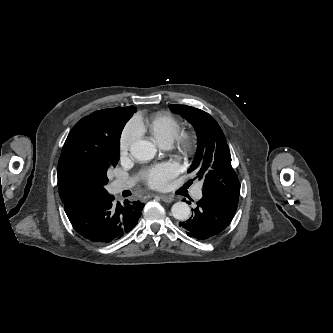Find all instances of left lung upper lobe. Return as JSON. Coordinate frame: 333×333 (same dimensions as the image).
<instances>
[{"mask_svg":"<svg viewBox=\"0 0 333 333\" xmlns=\"http://www.w3.org/2000/svg\"><path fill=\"white\" fill-rule=\"evenodd\" d=\"M170 110L189 121L198 137L197 155L188 172L203 180V190L220 196H239L240 182L231 166V155L217 121L208 113L187 105Z\"/></svg>","mask_w":333,"mask_h":333,"instance_id":"5c2ea615","label":"left lung upper lobe"}]
</instances>
